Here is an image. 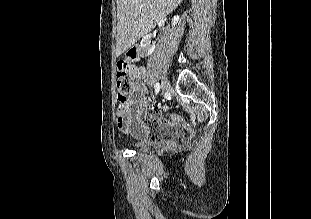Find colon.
I'll return each instance as SVG.
<instances>
[{"instance_id":"obj_1","label":"colon","mask_w":311,"mask_h":219,"mask_svg":"<svg viewBox=\"0 0 311 219\" xmlns=\"http://www.w3.org/2000/svg\"><path fill=\"white\" fill-rule=\"evenodd\" d=\"M134 53V50H130ZM136 77V69L131 65L129 60L120 59L116 64V83L118 89V100L119 104H126L129 101L130 95L133 91ZM164 127L161 126V129ZM154 127H152V130ZM160 137L152 135L151 140H158ZM177 143L182 144L183 141Z\"/></svg>"}]
</instances>
